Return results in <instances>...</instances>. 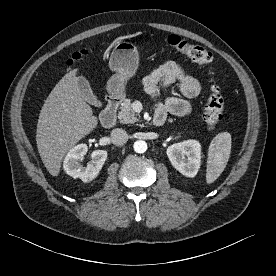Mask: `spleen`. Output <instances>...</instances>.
Returning a JSON list of instances; mask_svg holds the SVG:
<instances>
[{
    "instance_id": "spleen-1",
    "label": "spleen",
    "mask_w": 276,
    "mask_h": 276,
    "mask_svg": "<svg viewBox=\"0 0 276 276\" xmlns=\"http://www.w3.org/2000/svg\"><path fill=\"white\" fill-rule=\"evenodd\" d=\"M231 135L217 134L210 143L207 157L206 182L213 183L224 171L231 153Z\"/></svg>"
}]
</instances>
